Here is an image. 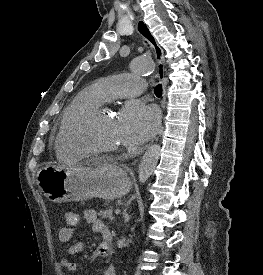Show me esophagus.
<instances>
[{
	"instance_id": "esophagus-1",
	"label": "esophagus",
	"mask_w": 263,
	"mask_h": 275,
	"mask_svg": "<svg viewBox=\"0 0 263 275\" xmlns=\"http://www.w3.org/2000/svg\"><path fill=\"white\" fill-rule=\"evenodd\" d=\"M137 31L141 36H143L151 44V46L154 49L155 58L157 61V74H158V77L161 80L162 86H163L161 107H162V109H164L165 101H166V87H167V83H168V79L165 74L164 52L144 22H139L137 24ZM160 128H161V123H160L159 129H158V132H159Z\"/></svg>"
}]
</instances>
